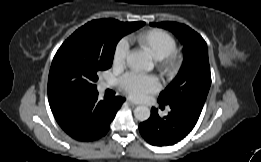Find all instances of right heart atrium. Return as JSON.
I'll return each instance as SVG.
<instances>
[{"label": "right heart atrium", "mask_w": 261, "mask_h": 162, "mask_svg": "<svg viewBox=\"0 0 261 162\" xmlns=\"http://www.w3.org/2000/svg\"><path fill=\"white\" fill-rule=\"evenodd\" d=\"M127 53H128L127 42L126 41L119 42L113 54V64L116 67H123L126 63Z\"/></svg>", "instance_id": "d8ad5b80"}]
</instances>
